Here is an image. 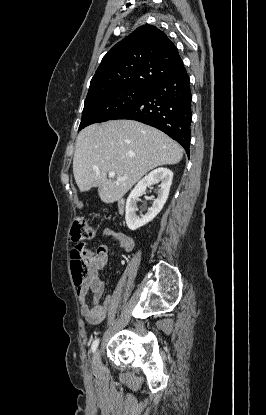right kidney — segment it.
I'll return each mask as SVG.
<instances>
[{
  "mask_svg": "<svg viewBox=\"0 0 266 415\" xmlns=\"http://www.w3.org/2000/svg\"><path fill=\"white\" fill-rule=\"evenodd\" d=\"M173 172L167 168H157L145 176L131 191L126 201V224L129 229L136 230L152 221L162 210L169 195L172 184ZM156 182H161L157 191L158 197L154 199L149 211L139 217L136 214L137 200L145 193L147 187Z\"/></svg>",
  "mask_w": 266,
  "mask_h": 415,
  "instance_id": "1",
  "label": "right kidney"
}]
</instances>
